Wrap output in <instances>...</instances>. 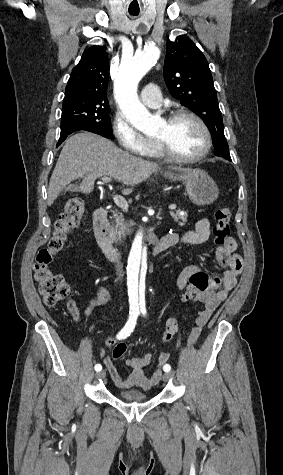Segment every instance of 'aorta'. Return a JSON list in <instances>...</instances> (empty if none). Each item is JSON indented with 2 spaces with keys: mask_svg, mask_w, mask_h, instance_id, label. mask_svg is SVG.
<instances>
[{
  "mask_svg": "<svg viewBox=\"0 0 283 475\" xmlns=\"http://www.w3.org/2000/svg\"><path fill=\"white\" fill-rule=\"evenodd\" d=\"M160 50L149 45L132 58L122 60L114 83V92L119 107L126 119L139 131L152 135L158 132L161 120L153 116L140 102L137 87L142 77L157 62ZM151 208L142 216L135 228V238L127 261L128 297L132 308L145 305V279L148 270L146 240L149 223L154 219Z\"/></svg>",
  "mask_w": 283,
  "mask_h": 475,
  "instance_id": "1",
  "label": "aorta"
}]
</instances>
